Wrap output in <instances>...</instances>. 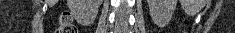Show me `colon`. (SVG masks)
I'll return each mask as SVG.
<instances>
[{"mask_svg": "<svg viewBox=\"0 0 235 33\" xmlns=\"http://www.w3.org/2000/svg\"><path fill=\"white\" fill-rule=\"evenodd\" d=\"M60 26L58 29V33H76L77 29L76 27L72 24V19L68 13H63L60 16Z\"/></svg>", "mask_w": 235, "mask_h": 33, "instance_id": "1", "label": "colon"}]
</instances>
